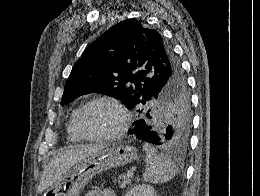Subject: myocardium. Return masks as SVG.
Segmentation results:
<instances>
[{
    "label": "myocardium",
    "instance_id": "1",
    "mask_svg": "<svg viewBox=\"0 0 260 196\" xmlns=\"http://www.w3.org/2000/svg\"><path fill=\"white\" fill-rule=\"evenodd\" d=\"M97 102H104L114 106L118 110L121 116L120 126L115 131L101 136L88 135L81 126V115L83 111L86 108H88L90 105ZM74 122H75L76 129L78 130L79 134L84 140L90 142L102 143V142H108L122 137L127 132L131 123V119L127 108L120 100L110 95H96L90 98L89 100H87L84 104H82L78 108L75 115Z\"/></svg>",
    "mask_w": 260,
    "mask_h": 196
}]
</instances>
